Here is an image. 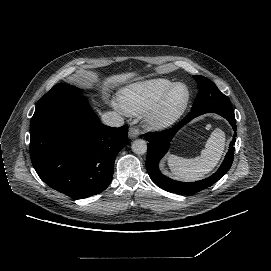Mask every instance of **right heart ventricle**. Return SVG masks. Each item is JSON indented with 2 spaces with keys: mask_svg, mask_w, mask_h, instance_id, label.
Returning a JSON list of instances; mask_svg holds the SVG:
<instances>
[{
  "mask_svg": "<svg viewBox=\"0 0 271 271\" xmlns=\"http://www.w3.org/2000/svg\"><path fill=\"white\" fill-rule=\"evenodd\" d=\"M175 82L157 77L132 84L119 94L121 109L128 115H139L157 105Z\"/></svg>",
  "mask_w": 271,
  "mask_h": 271,
  "instance_id": "1",
  "label": "right heart ventricle"
}]
</instances>
